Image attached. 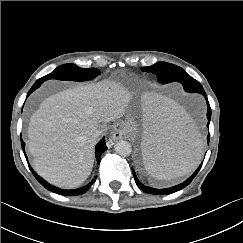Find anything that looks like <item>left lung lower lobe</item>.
<instances>
[{
	"label": "left lung lower lobe",
	"instance_id": "left-lung-lower-lobe-1",
	"mask_svg": "<svg viewBox=\"0 0 243 243\" xmlns=\"http://www.w3.org/2000/svg\"><path fill=\"white\" fill-rule=\"evenodd\" d=\"M183 87H184L186 92L200 93L205 97V99L207 101V106H208V110H207L208 124H207V126L209 127V123H210V119H211V108H210V105H209V102H208V99H207V96H206V93H205L203 87L201 86V84L199 82L195 83V84L184 85ZM209 138H210V135L208 134V136H207V142L208 143H209ZM201 166H202V164L192 174V176H190L183 183L176 185V186H173V187H170V188H166V189H155V188H151V187H147V186L143 185L141 182H139L138 178L136 177L134 170H132V171H133L135 182L141 190H143L144 192L149 193V194L167 195V194H171V193H174L176 191H179V190L183 189L184 187H186L187 185H189L191 183V181L193 180V178L196 176V174L199 172Z\"/></svg>",
	"mask_w": 243,
	"mask_h": 243
}]
</instances>
